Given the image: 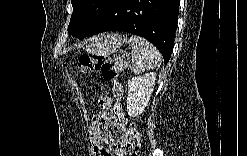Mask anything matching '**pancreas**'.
Here are the masks:
<instances>
[{"label":"pancreas","mask_w":247,"mask_h":156,"mask_svg":"<svg viewBox=\"0 0 247 156\" xmlns=\"http://www.w3.org/2000/svg\"><path fill=\"white\" fill-rule=\"evenodd\" d=\"M118 63H121V60H118Z\"/></svg>","instance_id":"1"}]
</instances>
